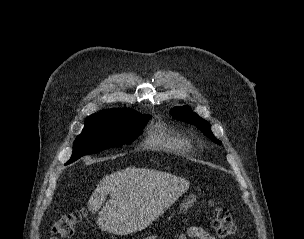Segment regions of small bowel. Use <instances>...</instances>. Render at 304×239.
Instances as JSON below:
<instances>
[{"label":"small bowel","mask_w":304,"mask_h":239,"mask_svg":"<svg viewBox=\"0 0 304 239\" xmlns=\"http://www.w3.org/2000/svg\"><path fill=\"white\" fill-rule=\"evenodd\" d=\"M187 238H195V239H216L209 232L204 230L199 226H191L188 228L186 233H180L175 236V239H187ZM50 239H57L56 237H52Z\"/></svg>","instance_id":"small-bowel-1"}]
</instances>
